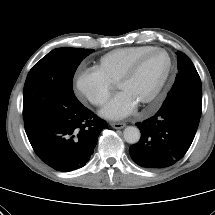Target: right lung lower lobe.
Listing matches in <instances>:
<instances>
[{"mask_svg":"<svg viewBox=\"0 0 215 215\" xmlns=\"http://www.w3.org/2000/svg\"><path fill=\"white\" fill-rule=\"evenodd\" d=\"M107 123L82 104L46 121L27 133L38 157L57 171L83 167L90 159Z\"/></svg>","mask_w":215,"mask_h":215,"instance_id":"98d812e1","label":"right lung lower lobe"}]
</instances>
